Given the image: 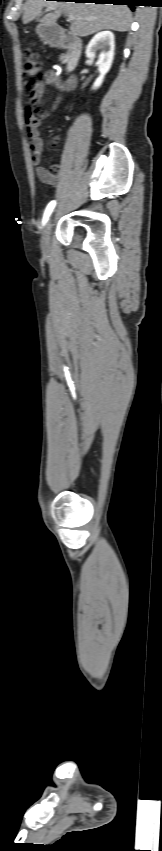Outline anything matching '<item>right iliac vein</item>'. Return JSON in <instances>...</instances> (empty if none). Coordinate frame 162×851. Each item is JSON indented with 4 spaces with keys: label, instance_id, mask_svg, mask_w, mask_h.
<instances>
[{
    "label": "right iliac vein",
    "instance_id": "63e3f726",
    "mask_svg": "<svg viewBox=\"0 0 162 851\" xmlns=\"http://www.w3.org/2000/svg\"><path fill=\"white\" fill-rule=\"evenodd\" d=\"M52 227H53V215L50 217V219L46 223L44 230L42 232L41 247H42V250L44 252L49 251L50 235H51Z\"/></svg>",
    "mask_w": 162,
    "mask_h": 851
}]
</instances>
